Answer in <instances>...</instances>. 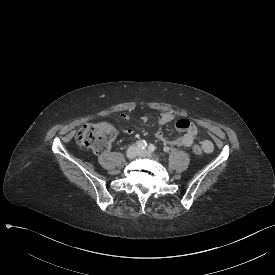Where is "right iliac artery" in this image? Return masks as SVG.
Here are the masks:
<instances>
[{
	"label": "right iliac artery",
	"mask_w": 275,
	"mask_h": 275,
	"mask_svg": "<svg viewBox=\"0 0 275 275\" xmlns=\"http://www.w3.org/2000/svg\"><path fill=\"white\" fill-rule=\"evenodd\" d=\"M136 145H137L138 148L144 149V148L147 147L148 144L145 140H139V141L136 142Z\"/></svg>",
	"instance_id": "obj_1"
}]
</instances>
